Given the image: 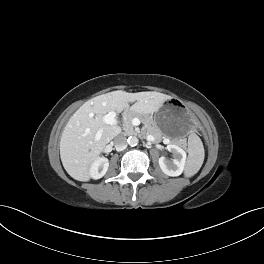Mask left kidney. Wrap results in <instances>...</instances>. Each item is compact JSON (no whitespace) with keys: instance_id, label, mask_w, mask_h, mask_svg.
<instances>
[{"instance_id":"left-kidney-1","label":"left kidney","mask_w":264,"mask_h":264,"mask_svg":"<svg viewBox=\"0 0 264 264\" xmlns=\"http://www.w3.org/2000/svg\"><path fill=\"white\" fill-rule=\"evenodd\" d=\"M167 150L173 154L172 161L165 157L159 158V166L163 173L168 176L176 177L182 174L186 164V152L179 146L168 144Z\"/></svg>"}]
</instances>
